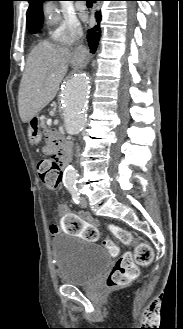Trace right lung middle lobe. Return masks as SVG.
<instances>
[{
  "mask_svg": "<svg viewBox=\"0 0 183 329\" xmlns=\"http://www.w3.org/2000/svg\"><path fill=\"white\" fill-rule=\"evenodd\" d=\"M41 26H42V23H39L35 27H33V29L30 30L29 32L32 33V34H36V33H38L40 31Z\"/></svg>",
  "mask_w": 183,
  "mask_h": 329,
  "instance_id": "right-lung-middle-lobe-1",
  "label": "right lung middle lobe"
}]
</instances>
